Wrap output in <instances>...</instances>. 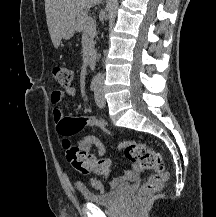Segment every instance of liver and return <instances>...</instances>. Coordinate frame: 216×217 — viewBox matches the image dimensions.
I'll use <instances>...</instances> for the list:
<instances>
[{
  "mask_svg": "<svg viewBox=\"0 0 216 217\" xmlns=\"http://www.w3.org/2000/svg\"><path fill=\"white\" fill-rule=\"evenodd\" d=\"M100 2L101 0H45L47 25L54 47H59L66 30L74 24L75 18L83 9Z\"/></svg>",
  "mask_w": 216,
  "mask_h": 217,
  "instance_id": "1",
  "label": "liver"
}]
</instances>
